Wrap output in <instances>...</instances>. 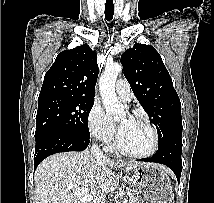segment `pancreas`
Segmentation results:
<instances>
[{
	"label": "pancreas",
	"mask_w": 214,
	"mask_h": 203,
	"mask_svg": "<svg viewBox=\"0 0 214 203\" xmlns=\"http://www.w3.org/2000/svg\"><path fill=\"white\" fill-rule=\"evenodd\" d=\"M128 203H138V202H137V199H136V198L131 197V198L129 199V202H128Z\"/></svg>",
	"instance_id": "obj_1"
}]
</instances>
